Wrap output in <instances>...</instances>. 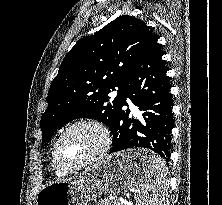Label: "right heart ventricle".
I'll use <instances>...</instances> for the list:
<instances>
[{
	"instance_id": "1",
	"label": "right heart ventricle",
	"mask_w": 222,
	"mask_h": 205,
	"mask_svg": "<svg viewBox=\"0 0 222 205\" xmlns=\"http://www.w3.org/2000/svg\"><path fill=\"white\" fill-rule=\"evenodd\" d=\"M53 166H54V171H55L56 175H58V176H63V175L66 174L65 172H63L62 170H60L54 163H53Z\"/></svg>"
}]
</instances>
